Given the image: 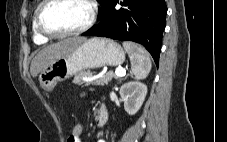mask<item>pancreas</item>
Returning a JSON list of instances; mask_svg holds the SVG:
<instances>
[{"mask_svg":"<svg viewBox=\"0 0 227 142\" xmlns=\"http://www.w3.org/2000/svg\"><path fill=\"white\" fill-rule=\"evenodd\" d=\"M93 74L89 71H80L73 79V83L74 84H77V85H99V86H103V85H107L108 82H110L112 80V78H117L114 74H110V73H107V74H104L103 76L95 79V80H92V81H84L83 78L84 77H92Z\"/></svg>","mask_w":227,"mask_h":142,"instance_id":"obj_1","label":"pancreas"}]
</instances>
